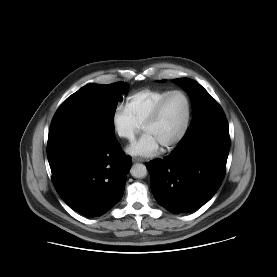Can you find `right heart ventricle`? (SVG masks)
I'll list each match as a JSON object with an SVG mask.
<instances>
[{"label":"right heart ventricle","instance_id":"1","mask_svg":"<svg viewBox=\"0 0 277 277\" xmlns=\"http://www.w3.org/2000/svg\"><path fill=\"white\" fill-rule=\"evenodd\" d=\"M172 90L169 89H143L131 94L126 101L128 109L134 120L141 126L153 112L158 102Z\"/></svg>","mask_w":277,"mask_h":277}]
</instances>
